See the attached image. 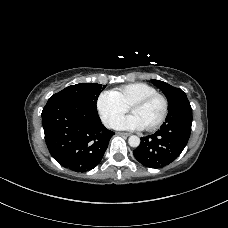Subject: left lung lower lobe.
<instances>
[{
    "instance_id": "left-lung-lower-lobe-1",
    "label": "left lung lower lobe",
    "mask_w": 228,
    "mask_h": 228,
    "mask_svg": "<svg viewBox=\"0 0 228 228\" xmlns=\"http://www.w3.org/2000/svg\"><path fill=\"white\" fill-rule=\"evenodd\" d=\"M191 125L192 108L189 101H185L179 111H169L159 131L141 138L140 145L133 151L135 158L150 168H162L170 164L185 148Z\"/></svg>"
}]
</instances>
